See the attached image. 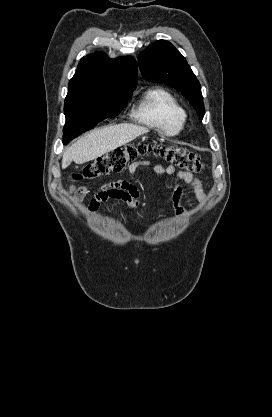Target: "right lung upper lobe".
I'll return each mask as SVG.
<instances>
[{"label":"right lung upper lobe","mask_w":272,"mask_h":417,"mask_svg":"<svg viewBox=\"0 0 272 417\" xmlns=\"http://www.w3.org/2000/svg\"><path fill=\"white\" fill-rule=\"evenodd\" d=\"M137 71L132 57L110 59L103 53L90 54L81 59L69 82L65 101L135 89Z\"/></svg>","instance_id":"obj_1"}]
</instances>
